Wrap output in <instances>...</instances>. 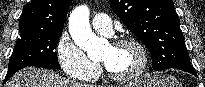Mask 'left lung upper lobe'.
<instances>
[{"label":"left lung upper lobe","instance_id":"left-lung-upper-lobe-1","mask_svg":"<svg viewBox=\"0 0 205 87\" xmlns=\"http://www.w3.org/2000/svg\"><path fill=\"white\" fill-rule=\"evenodd\" d=\"M115 14L146 45L156 71L190 64L172 0H109Z\"/></svg>","mask_w":205,"mask_h":87}]
</instances>
